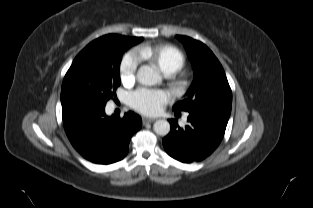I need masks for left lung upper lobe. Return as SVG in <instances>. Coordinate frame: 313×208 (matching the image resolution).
Returning <instances> with one entry per match:
<instances>
[{
	"label": "left lung upper lobe",
	"instance_id": "obj_1",
	"mask_svg": "<svg viewBox=\"0 0 313 208\" xmlns=\"http://www.w3.org/2000/svg\"><path fill=\"white\" fill-rule=\"evenodd\" d=\"M184 44L193 65L195 79L186 98L173 106L174 111L220 112L230 115L232 92L222 65L202 42L177 36Z\"/></svg>",
	"mask_w": 313,
	"mask_h": 208
}]
</instances>
